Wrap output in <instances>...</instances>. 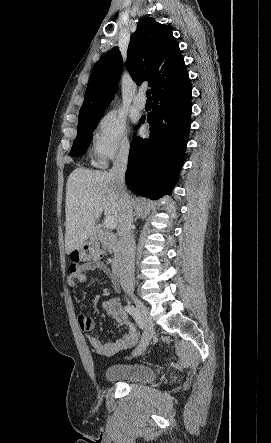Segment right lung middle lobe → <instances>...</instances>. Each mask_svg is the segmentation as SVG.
I'll list each match as a JSON object with an SVG mask.
<instances>
[{"label":"right lung middle lobe","mask_w":271,"mask_h":443,"mask_svg":"<svg viewBox=\"0 0 271 443\" xmlns=\"http://www.w3.org/2000/svg\"><path fill=\"white\" fill-rule=\"evenodd\" d=\"M101 116L81 118L78 121L77 137L74 140L71 156L76 157L83 154L90 144L92 133L95 130Z\"/></svg>","instance_id":"dd1d6c3e"}]
</instances>
